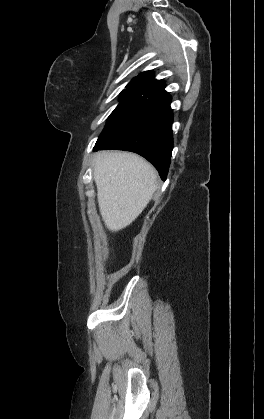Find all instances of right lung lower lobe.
Masks as SVG:
<instances>
[{"instance_id":"right-lung-lower-lobe-1","label":"right lung lower lobe","mask_w":264,"mask_h":419,"mask_svg":"<svg viewBox=\"0 0 264 419\" xmlns=\"http://www.w3.org/2000/svg\"><path fill=\"white\" fill-rule=\"evenodd\" d=\"M171 96L150 98L135 119L99 149L132 151L145 157L166 180L173 149Z\"/></svg>"}]
</instances>
